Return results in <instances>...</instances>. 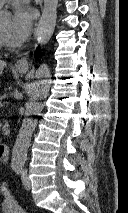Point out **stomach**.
Listing matches in <instances>:
<instances>
[{"label": "stomach", "mask_w": 128, "mask_h": 213, "mask_svg": "<svg viewBox=\"0 0 128 213\" xmlns=\"http://www.w3.org/2000/svg\"><path fill=\"white\" fill-rule=\"evenodd\" d=\"M20 73H25V71H23V70H21V71H19Z\"/></svg>", "instance_id": "1"}]
</instances>
